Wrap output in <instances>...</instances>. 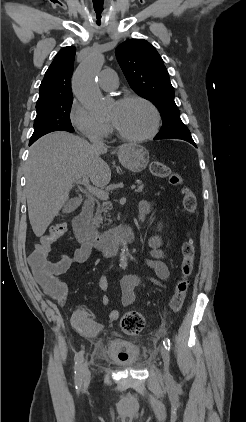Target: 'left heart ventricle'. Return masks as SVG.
Masks as SVG:
<instances>
[{
    "mask_svg": "<svg viewBox=\"0 0 246 422\" xmlns=\"http://www.w3.org/2000/svg\"><path fill=\"white\" fill-rule=\"evenodd\" d=\"M108 120L117 128L129 135L147 133L153 125V114L144 104L132 102L124 105L114 104Z\"/></svg>",
    "mask_w": 246,
    "mask_h": 422,
    "instance_id": "left-heart-ventricle-1",
    "label": "left heart ventricle"
}]
</instances>
